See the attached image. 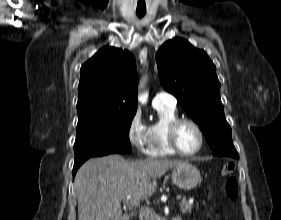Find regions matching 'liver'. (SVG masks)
Instances as JSON below:
<instances>
[{
  "mask_svg": "<svg viewBox=\"0 0 281 220\" xmlns=\"http://www.w3.org/2000/svg\"><path fill=\"white\" fill-rule=\"evenodd\" d=\"M183 161L147 159L126 161L120 155H108L86 161L74 180L78 200V220H130L121 209V201L145 200L157 188V178Z\"/></svg>",
  "mask_w": 281,
  "mask_h": 220,
  "instance_id": "liver-1",
  "label": "liver"
}]
</instances>
